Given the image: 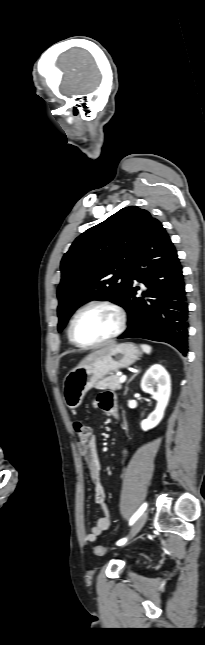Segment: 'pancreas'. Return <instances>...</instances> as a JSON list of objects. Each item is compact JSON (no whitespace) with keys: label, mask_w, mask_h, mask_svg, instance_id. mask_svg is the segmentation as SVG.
Returning a JSON list of instances; mask_svg holds the SVG:
<instances>
[{"label":"pancreas","mask_w":205,"mask_h":645,"mask_svg":"<svg viewBox=\"0 0 205 645\" xmlns=\"http://www.w3.org/2000/svg\"><path fill=\"white\" fill-rule=\"evenodd\" d=\"M119 380H120V376L111 375L98 381L95 385V388L101 389V390L109 389L112 391L120 390L121 383Z\"/></svg>","instance_id":"cf45deb5"}]
</instances>
